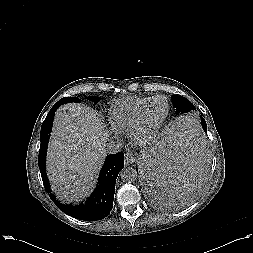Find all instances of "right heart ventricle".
Instances as JSON below:
<instances>
[{"label": "right heart ventricle", "instance_id": "right-heart-ventricle-1", "mask_svg": "<svg viewBox=\"0 0 253 253\" xmlns=\"http://www.w3.org/2000/svg\"><path fill=\"white\" fill-rule=\"evenodd\" d=\"M149 96H127L116 100L108 112V120L114 130L130 133L143 105L150 100Z\"/></svg>", "mask_w": 253, "mask_h": 253}]
</instances>
